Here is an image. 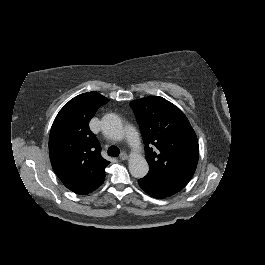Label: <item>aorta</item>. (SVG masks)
I'll return each mask as SVG.
<instances>
[{"mask_svg":"<svg viewBox=\"0 0 265 265\" xmlns=\"http://www.w3.org/2000/svg\"><path fill=\"white\" fill-rule=\"evenodd\" d=\"M102 131L104 135L112 139L122 137V122L118 115L107 113L103 115L101 120ZM149 171V165L143 157H134L129 162V172L137 179L144 178Z\"/></svg>","mask_w":265,"mask_h":265,"instance_id":"762f6f07","label":"aorta"}]
</instances>
